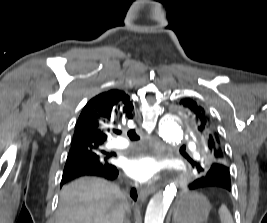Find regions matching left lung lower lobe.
<instances>
[{"label":"left lung lower lobe","instance_id":"0a47b994","mask_svg":"<svg viewBox=\"0 0 267 223\" xmlns=\"http://www.w3.org/2000/svg\"><path fill=\"white\" fill-rule=\"evenodd\" d=\"M234 178L226 171H199L190 173L185 177V182H190L189 192L200 194L230 195L232 187H235Z\"/></svg>","mask_w":267,"mask_h":223}]
</instances>
